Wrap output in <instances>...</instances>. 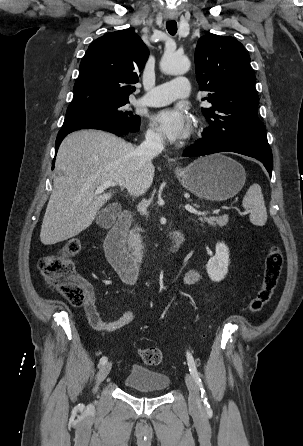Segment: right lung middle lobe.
Segmentation results:
<instances>
[{"label":"right lung middle lobe","mask_w":303,"mask_h":446,"mask_svg":"<svg viewBox=\"0 0 303 446\" xmlns=\"http://www.w3.org/2000/svg\"><path fill=\"white\" fill-rule=\"evenodd\" d=\"M129 101H121L87 109L67 110L62 127L88 119H101L120 124L126 129L137 132L140 127V117L131 112L123 111V106Z\"/></svg>","instance_id":"1"}]
</instances>
